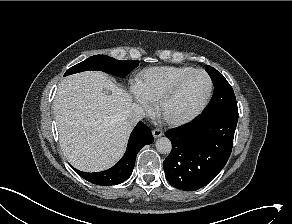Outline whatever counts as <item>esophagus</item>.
<instances>
[{
	"instance_id": "obj_1",
	"label": "esophagus",
	"mask_w": 292,
	"mask_h": 224,
	"mask_svg": "<svg viewBox=\"0 0 292 224\" xmlns=\"http://www.w3.org/2000/svg\"><path fill=\"white\" fill-rule=\"evenodd\" d=\"M152 134L154 138H158L163 135V132L160 129L156 128L152 130Z\"/></svg>"
}]
</instances>
